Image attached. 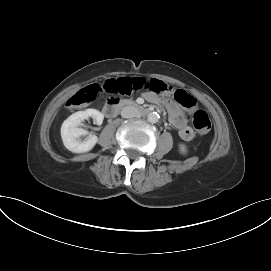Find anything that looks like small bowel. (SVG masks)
Masks as SVG:
<instances>
[{
  "instance_id": "c3829d8e",
  "label": "small bowel",
  "mask_w": 271,
  "mask_h": 271,
  "mask_svg": "<svg viewBox=\"0 0 271 271\" xmlns=\"http://www.w3.org/2000/svg\"><path fill=\"white\" fill-rule=\"evenodd\" d=\"M148 82L143 84V89L148 90L144 94V98L149 102L157 103L160 101L161 96L169 95L172 92L167 81L162 80L161 76H150ZM166 107L169 111L170 121L178 130L179 137L184 141L192 140L194 138V131L186 123V118L178 105L172 101H166Z\"/></svg>"
}]
</instances>
